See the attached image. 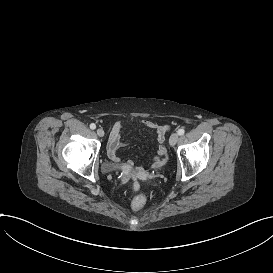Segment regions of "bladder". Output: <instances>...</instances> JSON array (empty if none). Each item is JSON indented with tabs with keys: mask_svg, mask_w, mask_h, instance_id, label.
Returning <instances> with one entry per match:
<instances>
[{
	"mask_svg": "<svg viewBox=\"0 0 273 273\" xmlns=\"http://www.w3.org/2000/svg\"><path fill=\"white\" fill-rule=\"evenodd\" d=\"M118 169V164L114 161H105L102 165V170L105 173H112Z\"/></svg>",
	"mask_w": 273,
	"mask_h": 273,
	"instance_id": "1",
	"label": "bladder"
}]
</instances>
